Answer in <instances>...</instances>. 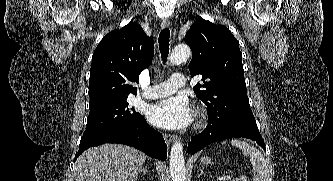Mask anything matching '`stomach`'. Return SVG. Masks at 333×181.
<instances>
[{"label":"stomach","instance_id":"stomach-1","mask_svg":"<svg viewBox=\"0 0 333 181\" xmlns=\"http://www.w3.org/2000/svg\"><path fill=\"white\" fill-rule=\"evenodd\" d=\"M211 159L209 158V157H203V158H201V163L202 164H205V165H207V164H211Z\"/></svg>","mask_w":333,"mask_h":181}]
</instances>
